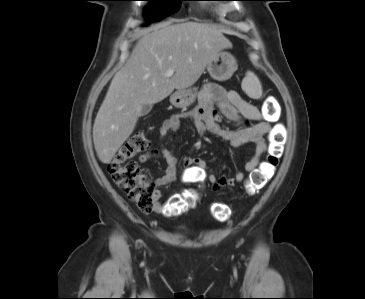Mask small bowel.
Instances as JSON below:
<instances>
[{
  "label": "small bowel",
  "instance_id": "1",
  "mask_svg": "<svg viewBox=\"0 0 365 299\" xmlns=\"http://www.w3.org/2000/svg\"><path fill=\"white\" fill-rule=\"evenodd\" d=\"M217 104V106L215 105ZM221 115L235 124L240 125L236 129H224L219 125ZM183 120L189 121L200 134H212L218 136L231 147H239L247 142L256 145L255 155L246 163L245 172L255 171L263 155L267 151L266 136L270 132V124L259 110L251 103L243 99L235 91H224L216 84L209 83L204 86L199 101L192 109L172 114L159 128V135L166 139L176 131ZM153 158L163 159L167 166L165 173L155 180L158 187L170 184L176 179L177 159L164 147L153 148L139 157L141 163H146ZM186 182L206 181L214 188L233 186L242 182L245 173L238 171L234 176L218 177L207 171L206 162L199 157L185 159ZM159 191L156 193L158 198ZM160 206L158 205V210Z\"/></svg>",
  "mask_w": 365,
  "mask_h": 299
}]
</instances>
